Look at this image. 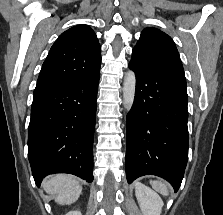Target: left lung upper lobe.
Segmentation results:
<instances>
[{"instance_id":"obj_1","label":"left lung upper lobe","mask_w":223,"mask_h":215,"mask_svg":"<svg viewBox=\"0 0 223 215\" xmlns=\"http://www.w3.org/2000/svg\"><path fill=\"white\" fill-rule=\"evenodd\" d=\"M129 64L186 87L184 69L174 41L156 28L142 31Z\"/></svg>"}]
</instances>
